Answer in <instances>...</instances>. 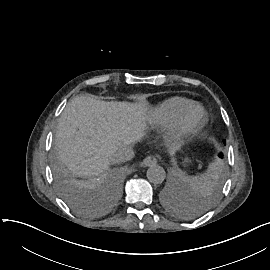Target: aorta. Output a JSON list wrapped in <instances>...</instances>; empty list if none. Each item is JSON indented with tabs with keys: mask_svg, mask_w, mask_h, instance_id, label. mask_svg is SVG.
<instances>
[{
	"mask_svg": "<svg viewBox=\"0 0 270 270\" xmlns=\"http://www.w3.org/2000/svg\"><path fill=\"white\" fill-rule=\"evenodd\" d=\"M165 177V170L161 166H150L147 171V178L151 183L161 184L165 180Z\"/></svg>",
	"mask_w": 270,
	"mask_h": 270,
	"instance_id": "1",
	"label": "aorta"
}]
</instances>
